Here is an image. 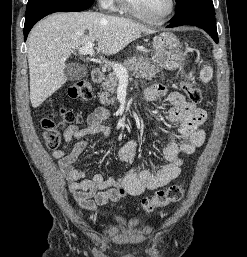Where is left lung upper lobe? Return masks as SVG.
Segmentation results:
<instances>
[{"instance_id": "1", "label": "left lung upper lobe", "mask_w": 247, "mask_h": 257, "mask_svg": "<svg viewBox=\"0 0 247 257\" xmlns=\"http://www.w3.org/2000/svg\"><path fill=\"white\" fill-rule=\"evenodd\" d=\"M194 3H213L212 0H176V10L179 11L184 7L192 5Z\"/></svg>"}]
</instances>
